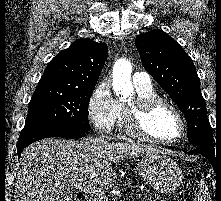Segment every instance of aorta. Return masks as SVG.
<instances>
[{
    "label": "aorta",
    "mask_w": 221,
    "mask_h": 201,
    "mask_svg": "<svg viewBox=\"0 0 221 201\" xmlns=\"http://www.w3.org/2000/svg\"><path fill=\"white\" fill-rule=\"evenodd\" d=\"M132 66L128 61H119L113 72V89L121 98L129 97L132 93Z\"/></svg>",
    "instance_id": "aorta-1"
}]
</instances>
